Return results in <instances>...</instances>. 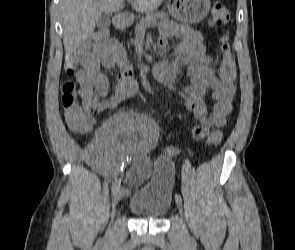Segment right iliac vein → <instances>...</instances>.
<instances>
[{
  "label": "right iliac vein",
  "instance_id": "right-iliac-vein-1",
  "mask_svg": "<svg viewBox=\"0 0 295 250\" xmlns=\"http://www.w3.org/2000/svg\"><path fill=\"white\" fill-rule=\"evenodd\" d=\"M122 196H123V190L122 189L117 190L113 194L112 202H111V206H112V219H113V216H114V212H115L116 206L120 202V200L122 199Z\"/></svg>",
  "mask_w": 295,
  "mask_h": 250
}]
</instances>
